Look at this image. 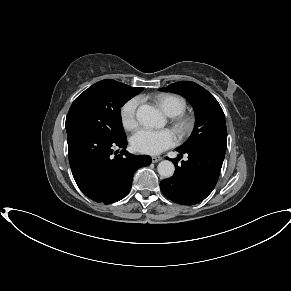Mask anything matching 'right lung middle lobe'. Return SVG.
I'll use <instances>...</instances> for the list:
<instances>
[{
    "label": "right lung middle lobe",
    "mask_w": 291,
    "mask_h": 291,
    "mask_svg": "<svg viewBox=\"0 0 291 291\" xmlns=\"http://www.w3.org/2000/svg\"><path fill=\"white\" fill-rule=\"evenodd\" d=\"M141 91L142 88L133 89L113 80L95 83L72 103L65 122L66 130H83L111 141L126 138L120 107Z\"/></svg>",
    "instance_id": "right-lung-middle-lobe-1"
}]
</instances>
